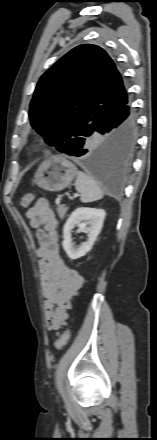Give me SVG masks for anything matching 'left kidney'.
Wrapping results in <instances>:
<instances>
[{
	"label": "left kidney",
	"instance_id": "1",
	"mask_svg": "<svg viewBox=\"0 0 157 440\" xmlns=\"http://www.w3.org/2000/svg\"><path fill=\"white\" fill-rule=\"evenodd\" d=\"M106 216L103 209L81 207L76 209L68 218L63 229V249L72 260L78 259L88 253L97 239ZM78 226L81 230L87 231L88 239L79 247H74L71 232Z\"/></svg>",
	"mask_w": 157,
	"mask_h": 440
}]
</instances>
